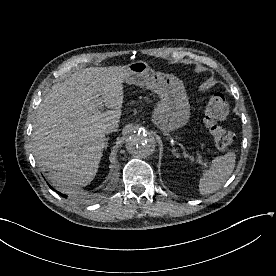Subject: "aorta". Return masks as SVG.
<instances>
[{
  "instance_id": "obj_1",
  "label": "aorta",
  "mask_w": 276,
  "mask_h": 276,
  "mask_svg": "<svg viewBox=\"0 0 276 276\" xmlns=\"http://www.w3.org/2000/svg\"><path fill=\"white\" fill-rule=\"evenodd\" d=\"M156 146V140L153 135L144 131L132 133L126 142L128 152L137 158H146L150 156Z\"/></svg>"
}]
</instances>
